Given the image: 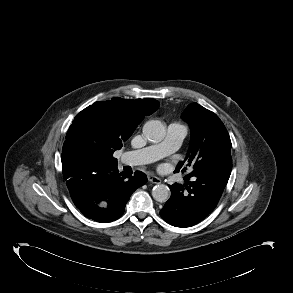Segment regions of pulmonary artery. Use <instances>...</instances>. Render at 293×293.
Returning a JSON list of instances; mask_svg holds the SVG:
<instances>
[{
    "label": "pulmonary artery",
    "mask_w": 293,
    "mask_h": 293,
    "mask_svg": "<svg viewBox=\"0 0 293 293\" xmlns=\"http://www.w3.org/2000/svg\"><path fill=\"white\" fill-rule=\"evenodd\" d=\"M186 134L187 129L185 126L179 123H171L167 128L166 137L161 143L126 152L123 154L121 161L123 164L130 166L155 162L177 151Z\"/></svg>",
    "instance_id": "pulmonary-artery-1"
}]
</instances>
